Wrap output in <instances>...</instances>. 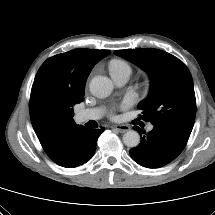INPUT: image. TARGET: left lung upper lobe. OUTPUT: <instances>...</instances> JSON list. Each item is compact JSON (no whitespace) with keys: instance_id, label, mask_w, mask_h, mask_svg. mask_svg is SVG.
I'll list each match as a JSON object with an SVG mask.
<instances>
[{"instance_id":"obj_1","label":"left lung upper lobe","mask_w":215,"mask_h":215,"mask_svg":"<svg viewBox=\"0 0 215 215\" xmlns=\"http://www.w3.org/2000/svg\"><path fill=\"white\" fill-rule=\"evenodd\" d=\"M151 77L149 96L138 108L144 120L164 127L188 141L196 115L192 76L186 65L175 56L158 49L116 50Z\"/></svg>"}]
</instances>
